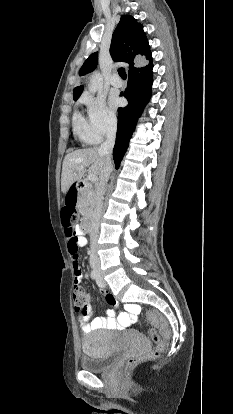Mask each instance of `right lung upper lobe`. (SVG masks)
Returning <instances> with one entry per match:
<instances>
[{
	"label": "right lung upper lobe",
	"instance_id": "obj_1",
	"mask_svg": "<svg viewBox=\"0 0 233 414\" xmlns=\"http://www.w3.org/2000/svg\"><path fill=\"white\" fill-rule=\"evenodd\" d=\"M110 55L116 62L123 61L128 63L129 75L139 73L151 67L152 56L148 40L143 31V27L130 15H123L112 35ZM146 60L149 62L146 63ZM98 61V53H93L85 61L80 69V76L92 72ZM83 91V85L75 87L73 98L77 100Z\"/></svg>",
	"mask_w": 233,
	"mask_h": 414
}]
</instances>
